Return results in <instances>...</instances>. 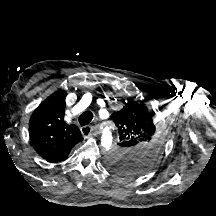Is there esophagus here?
I'll use <instances>...</instances> for the list:
<instances>
[{"label": "esophagus", "mask_w": 216, "mask_h": 216, "mask_svg": "<svg viewBox=\"0 0 216 216\" xmlns=\"http://www.w3.org/2000/svg\"><path fill=\"white\" fill-rule=\"evenodd\" d=\"M94 127L93 126H83L81 128V133L84 137H91L93 135Z\"/></svg>", "instance_id": "1"}]
</instances>
